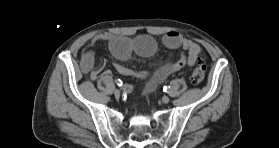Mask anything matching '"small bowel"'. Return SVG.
Here are the masks:
<instances>
[{
  "instance_id": "c3829d8e",
  "label": "small bowel",
  "mask_w": 279,
  "mask_h": 148,
  "mask_svg": "<svg viewBox=\"0 0 279 148\" xmlns=\"http://www.w3.org/2000/svg\"><path fill=\"white\" fill-rule=\"evenodd\" d=\"M103 42H108L111 53L121 61L128 60L133 54L141 57H151L157 52V43L150 36H138L130 39L115 36L110 33L98 34L84 49L80 60L81 71L89 74L92 80L98 78L104 67L103 62L96 60V51ZM162 43L168 49L181 48L183 53L177 60L163 64L152 73L142 74L148 80L144 89V93L146 94L152 92L157 85L186 65H195L201 51L200 46L196 42L184 37L177 31H169L164 34ZM114 68L124 76H132L135 74L132 70L120 63H114ZM126 89L130 91L132 86L127 85Z\"/></svg>"
}]
</instances>
